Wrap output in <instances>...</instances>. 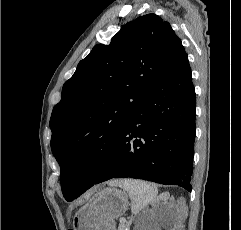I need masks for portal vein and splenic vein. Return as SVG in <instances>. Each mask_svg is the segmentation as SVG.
<instances>
[{
  "instance_id": "18ae733b",
  "label": "portal vein and splenic vein",
  "mask_w": 241,
  "mask_h": 230,
  "mask_svg": "<svg viewBox=\"0 0 241 230\" xmlns=\"http://www.w3.org/2000/svg\"><path fill=\"white\" fill-rule=\"evenodd\" d=\"M126 222V219L125 218H120V224H124Z\"/></svg>"
}]
</instances>
